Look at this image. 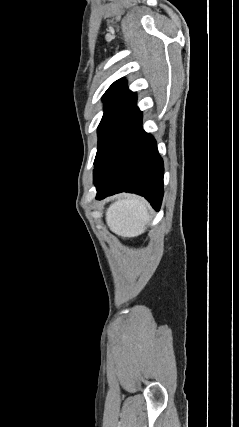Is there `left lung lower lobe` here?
<instances>
[{
	"label": "left lung lower lobe",
	"mask_w": 239,
	"mask_h": 427,
	"mask_svg": "<svg viewBox=\"0 0 239 427\" xmlns=\"http://www.w3.org/2000/svg\"><path fill=\"white\" fill-rule=\"evenodd\" d=\"M163 160L155 139L142 129V112L109 141L94 166L96 199L120 192L144 196L155 210L163 198Z\"/></svg>",
	"instance_id": "1"
}]
</instances>
